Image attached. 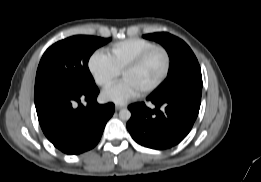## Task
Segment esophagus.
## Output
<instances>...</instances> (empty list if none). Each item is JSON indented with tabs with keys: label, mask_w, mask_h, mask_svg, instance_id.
I'll use <instances>...</instances> for the list:
<instances>
[{
	"label": "esophagus",
	"mask_w": 261,
	"mask_h": 182,
	"mask_svg": "<svg viewBox=\"0 0 261 182\" xmlns=\"http://www.w3.org/2000/svg\"><path fill=\"white\" fill-rule=\"evenodd\" d=\"M125 107H126L125 104H116V105H115V109H116L117 111H119V110H121V109H123V108H125Z\"/></svg>",
	"instance_id": "34e87169"
}]
</instances>
